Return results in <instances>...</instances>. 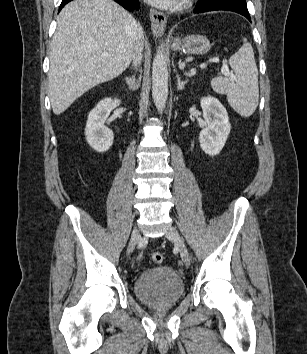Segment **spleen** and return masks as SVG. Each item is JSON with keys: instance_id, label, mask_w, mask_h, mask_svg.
<instances>
[{"instance_id": "obj_1", "label": "spleen", "mask_w": 307, "mask_h": 354, "mask_svg": "<svg viewBox=\"0 0 307 354\" xmlns=\"http://www.w3.org/2000/svg\"><path fill=\"white\" fill-rule=\"evenodd\" d=\"M229 65L235 72V81L217 77L211 82L212 88L226 94L228 103L238 114L249 117L258 106L259 87L253 48L246 38H243L242 47L230 57Z\"/></svg>"}]
</instances>
